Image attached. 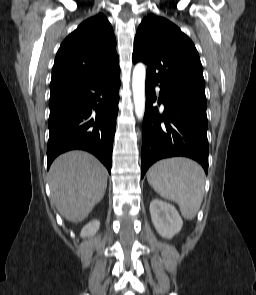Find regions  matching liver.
<instances>
[{"label":"liver","mask_w":256,"mask_h":295,"mask_svg":"<svg viewBox=\"0 0 256 295\" xmlns=\"http://www.w3.org/2000/svg\"><path fill=\"white\" fill-rule=\"evenodd\" d=\"M107 176L106 168L87 152L62 154L49 170L51 202L66 220L79 223L102 200Z\"/></svg>","instance_id":"6515ba94"}]
</instances>
